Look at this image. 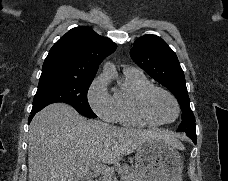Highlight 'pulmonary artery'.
Here are the masks:
<instances>
[{"mask_svg": "<svg viewBox=\"0 0 228 181\" xmlns=\"http://www.w3.org/2000/svg\"><path fill=\"white\" fill-rule=\"evenodd\" d=\"M133 74H134V75H139V74H140V71H139V70H134V71H133Z\"/></svg>", "mask_w": 228, "mask_h": 181, "instance_id": "1", "label": "pulmonary artery"}]
</instances>
